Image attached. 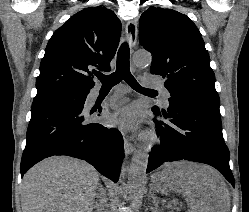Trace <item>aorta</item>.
<instances>
[{"instance_id": "aorta-1", "label": "aorta", "mask_w": 249, "mask_h": 212, "mask_svg": "<svg viewBox=\"0 0 249 212\" xmlns=\"http://www.w3.org/2000/svg\"><path fill=\"white\" fill-rule=\"evenodd\" d=\"M151 62L152 56L148 52L137 51L133 55V63L139 68L149 66ZM147 164L148 154L142 150L136 151L132 157V162L128 171V189L132 200H135L140 196V190L144 183Z\"/></svg>"}]
</instances>
